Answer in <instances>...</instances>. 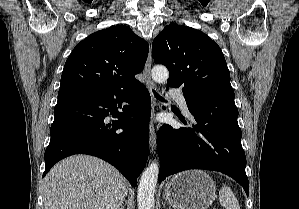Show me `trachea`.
I'll use <instances>...</instances> for the list:
<instances>
[{"instance_id":"trachea-1","label":"trachea","mask_w":299,"mask_h":209,"mask_svg":"<svg viewBox=\"0 0 299 209\" xmlns=\"http://www.w3.org/2000/svg\"><path fill=\"white\" fill-rule=\"evenodd\" d=\"M153 92L157 99L163 100V98L158 93H156L155 91H153Z\"/></svg>"}]
</instances>
